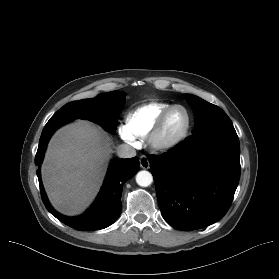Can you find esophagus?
Returning a JSON list of instances; mask_svg holds the SVG:
<instances>
[{"label":"esophagus","mask_w":279,"mask_h":279,"mask_svg":"<svg viewBox=\"0 0 279 279\" xmlns=\"http://www.w3.org/2000/svg\"><path fill=\"white\" fill-rule=\"evenodd\" d=\"M139 162H140L141 168H143V169H148L150 167L149 160L144 155L140 157Z\"/></svg>","instance_id":"1"}]
</instances>
